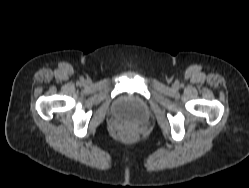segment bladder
Wrapping results in <instances>:
<instances>
[{"label": "bladder", "mask_w": 249, "mask_h": 188, "mask_svg": "<svg viewBox=\"0 0 249 188\" xmlns=\"http://www.w3.org/2000/svg\"><path fill=\"white\" fill-rule=\"evenodd\" d=\"M113 109L117 115L132 119H141L147 114L145 101L134 95L120 97L114 103Z\"/></svg>", "instance_id": "bladder-1"}]
</instances>
